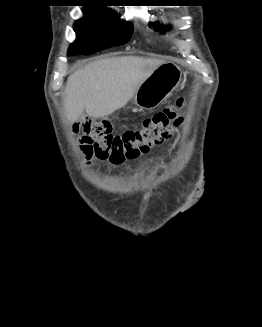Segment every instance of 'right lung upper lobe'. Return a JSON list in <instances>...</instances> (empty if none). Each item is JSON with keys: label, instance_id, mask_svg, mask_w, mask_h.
I'll return each instance as SVG.
<instances>
[{"label": "right lung upper lobe", "instance_id": "right-lung-upper-lobe-1", "mask_svg": "<svg viewBox=\"0 0 262 327\" xmlns=\"http://www.w3.org/2000/svg\"><path fill=\"white\" fill-rule=\"evenodd\" d=\"M88 3H103V1L91 0V1H88ZM84 10H99V11L113 12L111 9H108L107 7H105L103 5H88V6L84 7Z\"/></svg>", "mask_w": 262, "mask_h": 327}]
</instances>
